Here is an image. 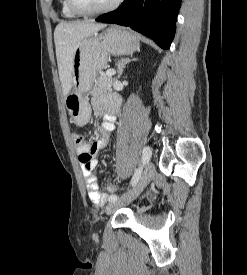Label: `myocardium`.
<instances>
[{
	"instance_id": "f54148a6",
	"label": "myocardium",
	"mask_w": 247,
	"mask_h": 275,
	"mask_svg": "<svg viewBox=\"0 0 247 275\" xmlns=\"http://www.w3.org/2000/svg\"><path fill=\"white\" fill-rule=\"evenodd\" d=\"M66 1H67L69 8L73 12H75L78 15H82V16H97V15L109 13V12L115 10L121 3V0H113L106 7H103V8L97 9V10H84V9L78 7L75 4L74 0H66Z\"/></svg>"
}]
</instances>
